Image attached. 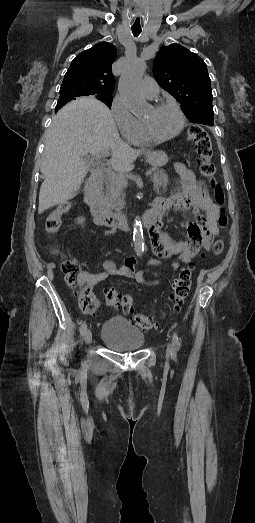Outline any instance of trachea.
Wrapping results in <instances>:
<instances>
[{
	"label": "trachea",
	"instance_id": "trachea-1",
	"mask_svg": "<svg viewBox=\"0 0 255 523\" xmlns=\"http://www.w3.org/2000/svg\"><path fill=\"white\" fill-rule=\"evenodd\" d=\"M132 33L135 37H137L138 35H140L142 29L141 28H136V27H132Z\"/></svg>",
	"mask_w": 255,
	"mask_h": 523
}]
</instances>
